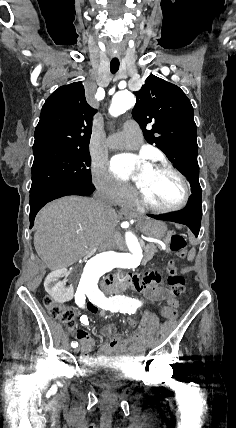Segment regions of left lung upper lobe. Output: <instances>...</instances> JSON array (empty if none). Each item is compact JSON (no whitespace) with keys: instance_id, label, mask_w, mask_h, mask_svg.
<instances>
[{"instance_id":"obj_1","label":"left lung upper lobe","mask_w":236,"mask_h":428,"mask_svg":"<svg viewBox=\"0 0 236 428\" xmlns=\"http://www.w3.org/2000/svg\"><path fill=\"white\" fill-rule=\"evenodd\" d=\"M134 94L137 101L132 116L144 129L147 142L162 150L187 177L192 193L201 191L196 124L189 99L178 86L154 75ZM148 124L151 130H146Z\"/></svg>"}]
</instances>
